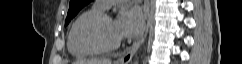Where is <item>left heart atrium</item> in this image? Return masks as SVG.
Listing matches in <instances>:
<instances>
[{
	"mask_svg": "<svg viewBox=\"0 0 242 64\" xmlns=\"http://www.w3.org/2000/svg\"><path fill=\"white\" fill-rule=\"evenodd\" d=\"M143 26L141 12L138 9H123L114 21L115 33L119 39L131 38L140 33Z\"/></svg>",
	"mask_w": 242,
	"mask_h": 64,
	"instance_id": "obj_1",
	"label": "left heart atrium"
}]
</instances>
